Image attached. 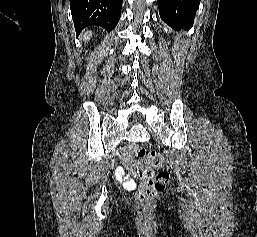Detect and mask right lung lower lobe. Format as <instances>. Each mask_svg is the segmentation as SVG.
<instances>
[{"mask_svg": "<svg viewBox=\"0 0 257 237\" xmlns=\"http://www.w3.org/2000/svg\"><path fill=\"white\" fill-rule=\"evenodd\" d=\"M123 0H70L76 33L92 25L108 32L115 28L121 17Z\"/></svg>", "mask_w": 257, "mask_h": 237, "instance_id": "98d812e1", "label": "right lung lower lobe"}]
</instances>
